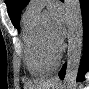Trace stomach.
Masks as SVG:
<instances>
[{
	"mask_svg": "<svg viewBox=\"0 0 89 89\" xmlns=\"http://www.w3.org/2000/svg\"><path fill=\"white\" fill-rule=\"evenodd\" d=\"M59 85L54 86L52 89H59Z\"/></svg>",
	"mask_w": 89,
	"mask_h": 89,
	"instance_id": "obj_1",
	"label": "stomach"
}]
</instances>
